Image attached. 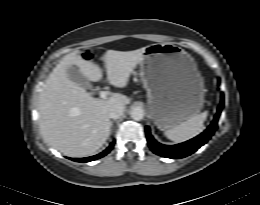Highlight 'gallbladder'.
Instances as JSON below:
<instances>
[{"label": "gallbladder", "mask_w": 260, "mask_h": 205, "mask_svg": "<svg viewBox=\"0 0 260 205\" xmlns=\"http://www.w3.org/2000/svg\"><path fill=\"white\" fill-rule=\"evenodd\" d=\"M68 77L71 81L78 84L83 88H90V83L86 77L75 67H71L68 70Z\"/></svg>", "instance_id": "gallbladder-1"}]
</instances>
